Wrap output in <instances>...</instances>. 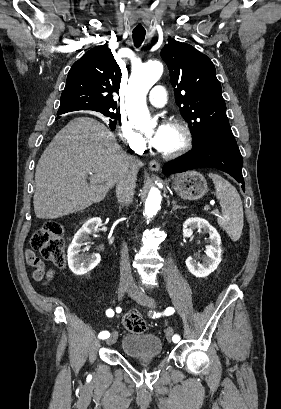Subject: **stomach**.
<instances>
[{
  "label": "stomach",
  "mask_w": 281,
  "mask_h": 409,
  "mask_svg": "<svg viewBox=\"0 0 281 409\" xmlns=\"http://www.w3.org/2000/svg\"><path fill=\"white\" fill-rule=\"evenodd\" d=\"M173 188L182 198L197 200V198H202L206 194L208 184L203 174H200L197 170H187V172H182L178 178H175Z\"/></svg>",
  "instance_id": "obj_1"
}]
</instances>
